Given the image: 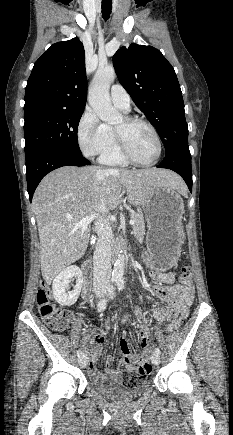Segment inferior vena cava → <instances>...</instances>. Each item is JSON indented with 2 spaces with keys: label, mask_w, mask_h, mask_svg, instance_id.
I'll list each match as a JSON object with an SVG mask.
<instances>
[{
  "label": "inferior vena cava",
  "mask_w": 233,
  "mask_h": 435,
  "mask_svg": "<svg viewBox=\"0 0 233 435\" xmlns=\"http://www.w3.org/2000/svg\"><path fill=\"white\" fill-rule=\"evenodd\" d=\"M99 210L102 213L108 212L104 200H101ZM95 230L98 240L93 255V288L99 289L107 285L111 277L112 229L107 220L99 218L95 222Z\"/></svg>",
  "instance_id": "inferior-vena-cava-1"
}]
</instances>
